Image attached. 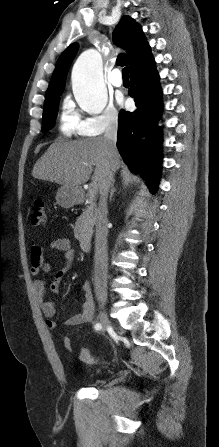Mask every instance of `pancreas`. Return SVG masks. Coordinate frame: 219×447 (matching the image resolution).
I'll use <instances>...</instances> for the list:
<instances>
[{
  "label": "pancreas",
  "instance_id": "cf45deb5",
  "mask_svg": "<svg viewBox=\"0 0 219 447\" xmlns=\"http://www.w3.org/2000/svg\"><path fill=\"white\" fill-rule=\"evenodd\" d=\"M88 206L83 213L77 218L74 228V236L78 240H87L93 234V226L97 219L98 210L96 207V198L90 194L86 195Z\"/></svg>",
  "mask_w": 219,
  "mask_h": 447
}]
</instances>
